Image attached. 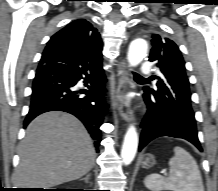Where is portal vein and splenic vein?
I'll use <instances>...</instances> for the list:
<instances>
[{
    "instance_id": "portal-vein-and-splenic-vein-1",
    "label": "portal vein and splenic vein",
    "mask_w": 218,
    "mask_h": 191,
    "mask_svg": "<svg viewBox=\"0 0 218 191\" xmlns=\"http://www.w3.org/2000/svg\"><path fill=\"white\" fill-rule=\"evenodd\" d=\"M163 174H166V171H162Z\"/></svg>"
}]
</instances>
